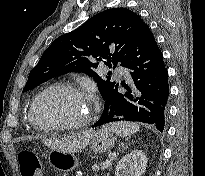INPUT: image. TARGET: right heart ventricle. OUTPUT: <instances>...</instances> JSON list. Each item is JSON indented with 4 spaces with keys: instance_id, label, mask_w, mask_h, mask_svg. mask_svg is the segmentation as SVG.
Returning <instances> with one entry per match:
<instances>
[{
    "instance_id": "right-heart-ventricle-1",
    "label": "right heart ventricle",
    "mask_w": 205,
    "mask_h": 176,
    "mask_svg": "<svg viewBox=\"0 0 205 176\" xmlns=\"http://www.w3.org/2000/svg\"><path fill=\"white\" fill-rule=\"evenodd\" d=\"M28 118H29V115H28ZM29 122H30V119H29ZM30 124H31V122H30Z\"/></svg>"
}]
</instances>
